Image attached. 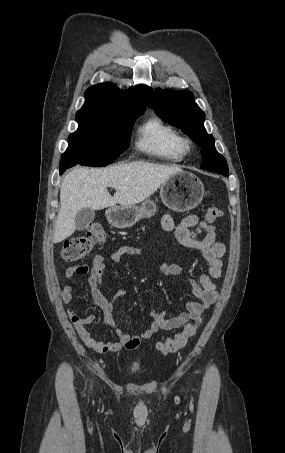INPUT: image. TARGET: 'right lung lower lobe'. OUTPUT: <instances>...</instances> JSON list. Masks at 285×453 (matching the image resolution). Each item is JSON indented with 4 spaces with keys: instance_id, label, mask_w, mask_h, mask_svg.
Returning <instances> with one entry per match:
<instances>
[{
    "instance_id": "1",
    "label": "right lung lower lobe",
    "mask_w": 285,
    "mask_h": 453,
    "mask_svg": "<svg viewBox=\"0 0 285 453\" xmlns=\"http://www.w3.org/2000/svg\"><path fill=\"white\" fill-rule=\"evenodd\" d=\"M72 167L70 164H63L60 162V174H62L67 168Z\"/></svg>"
}]
</instances>
